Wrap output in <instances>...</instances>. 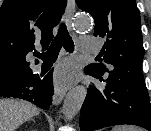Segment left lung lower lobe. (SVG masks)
Wrapping results in <instances>:
<instances>
[{
  "label": "left lung lower lobe",
  "instance_id": "obj_1",
  "mask_svg": "<svg viewBox=\"0 0 151 131\" xmlns=\"http://www.w3.org/2000/svg\"><path fill=\"white\" fill-rule=\"evenodd\" d=\"M85 73L103 84L88 89L81 108V131L119 124L138 125L151 131V104L141 68L112 70L107 79L89 66Z\"/></svg>",
  "mask_w": 151,
  "mask_h": 131
}]
</instances>
